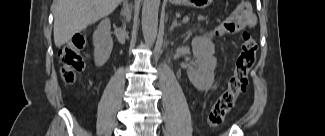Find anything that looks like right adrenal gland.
<instances>
[{
	"mask_svg": "<svg viewBox=\"0 0 325 136\" xmlns=\"http://www.w3.org/2000/svg\"><path fill=\"white\" fill-rule=\"evenodd\" d=\"M120 16H121V21H125L124 19L126 18L127 21H130V15H129V12H128V3L127 1L124 2L123 4V8L120 12Z\"/></svg>",
	"mask_w": 325,
	"mask_h": 136,
	"instance_id": "1",
	"label": "right adrenal gland"
}]
</instances>
